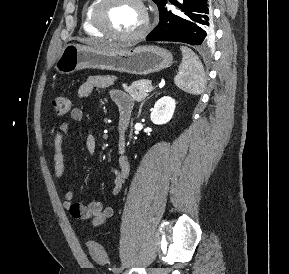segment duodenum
<instances>
[{
	"label": "duodenum",
	"instance_id": "410a0bca",
	"mask_svg": "<svg viewBox=\"0 0 289 274\" xmlns=\"http://www.w3.org/2000/svg\"><path fill=\"white\" fill-rule=\"evenodd\" d=\"M131 115L127 112H122L119 115L118 131L121 136L126 133L127 127L130 122Z\"/></svg>",
	"mask_w": 289,
	"mask_h": 274
}]
</instances>
